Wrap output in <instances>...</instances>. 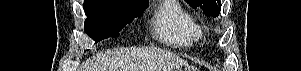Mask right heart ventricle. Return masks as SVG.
Instances as JSON below:
<instances>
[{
  "instance_id": "obj_1",
  "label": "right heart ventricle",
  "mask_w": 301,
  "mask_h": 71,
  "mask_svg": "<svg viewBox=\"0 0 301 71\" xmlns=\"http://www.w3.org/2000/svg\"><path fill=\"white\" fill-rule=\"evenodd\" d=\"M152 28L161 42L178 48L192 47L201 36L193 16L176 1H167L158 9Z\"/></svg>"
}]
</instances>
